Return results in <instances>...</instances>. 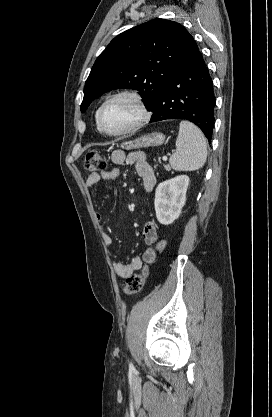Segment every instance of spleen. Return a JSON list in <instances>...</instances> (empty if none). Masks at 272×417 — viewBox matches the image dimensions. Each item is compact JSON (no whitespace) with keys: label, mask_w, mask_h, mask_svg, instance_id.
Segmentation results:
<instances>
[{"label":"spleen","mask_w":272,"mask_h":417,"mask_svg":"<svg viewBox=\"0 0 272 417\" xmlns=\"http://www.w3.org/2000/svg\"><path fill=\"white\" fill-rule=\"evenodd\" d=\"M207 143L203 133L194 124L181 121L176 139V151L169 164L176 171H194L204 166Z\"/></svg>","instance_id":"1"}]
</instances>
